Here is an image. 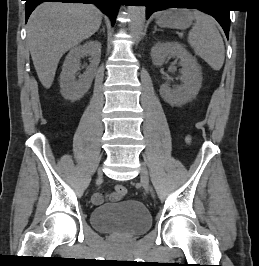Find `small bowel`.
<instances>
[{"mask_svg":"<svg viewBox=\"0 0 259 266\" xmlns=\"http://www.w3.org/2000/svg\"><path fill=\"white\" fill-rule=\"evenodd\" d=\"M106 199H108L109 201H118L120 197H118L116 193H111L108 195L97 193L93 196V203L99 205L102 204Z\"/></svg>","mask_w":259,"mask_h":266,"instance_id":"obj_1","label":"small bowel"}]
</instances>
